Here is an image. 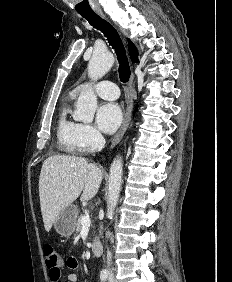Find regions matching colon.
I'll return each mask as SVG.
<instances>
[{
  "label": "colon",
  "instance_id": "colon-1",
  "mask_svg": "<svg viewBox=\"0 0 232 282\" xmlns=\"http://www.w3.org/2000/svg\"><path fill=\"white\" fill-rule=\"evenodd\" d=\"M44 256L49 272L58 275L60 273L61 259L55 248L51 245H46L44 247Z\"/></svg>",
  "mask_w": 232,
  "mask_h": 282
}]
</instances>
